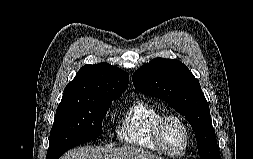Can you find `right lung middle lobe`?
Returning <instances> with one entry per match:
<instances>
[{
  "mask_svg": "<svg viewBox=\"0 0 253 159\" xmlns=\"http://www.w3.org/2000/svg\"><path fill=\"white\" fill-rule=\"evenodd\" d=\"M118 98L61 100L50 133L46 159H58L65 151L98 138L109 105Z\"/></svg>",
  "mask_w": 253,
  "mask_h": 159,
  "instance_id": "dd1d6c3e",
  "label": "right lung middle lobe"
}]
</instances>
